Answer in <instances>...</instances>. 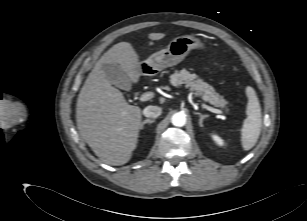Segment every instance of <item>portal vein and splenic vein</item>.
I'll return each mask as SVG.
<instances>
[{"label": "portal vein and splenic vein", "instance_id": "obj_1", "mask_svg": "<svg viewBox=\"0 0 307 221\" xmlns=\"http://www.w3.org/2000/svg\"><path fill=\"white\" fill-rule=\"evenodd\" d=\"M154 97V93L153 92H146V93H143L139 100L141 102H145V101H148L150 99H152ZM203 107L206 108L208 111L210 112H213V113H216V114H223V111L222 110H219V109H216V108H213L211 106H208V105H205L203 104Z\"/></svg>", "mask_w": 307, "mask_h": 221}]
</instances>
